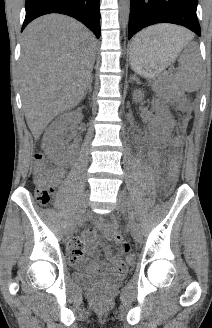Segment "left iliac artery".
Listing matches in <instances>:
<instances>
[{
	"mask_svg": "<svg viewBox=\"0 0 212 328\" xmlns=\"http://www.w3.org/2000/svg\"><path fill=\"white\" fill-rule=\"evenodd\" d=\"M128 204H129V207H130V210H131L132 214L136 217V213H135L130 201H128Z\"/></svg>",
	"mask_w": 212,
	"mask_h": 328,
	"instance_id": "1",
	"label": "left iliac artery"
}]
</instances>
